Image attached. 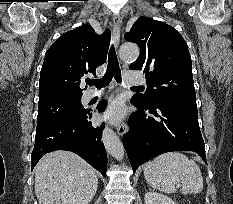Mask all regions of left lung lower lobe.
Here are the masks:
<instances>
[{"instance_id":"1","label":"left lung lower lobe","mask_w":233,"mask_h":204,"mask_svg":"<svg viewBox=\"0 0 233 204\" xmlns=\"http://www.w3.org/2000/svg\"><path fill=\"white\" fill-rule=\"evenodd\" d=\"M129 118L123 145L135 170L150 159L171 151H194L206 162L197 105L194 101L162 98L142 105Z\"/></svg>"}]
</instances>
